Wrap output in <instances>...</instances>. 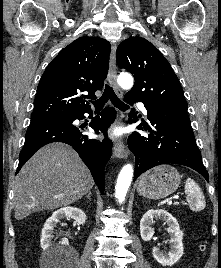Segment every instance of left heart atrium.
I'll return each mask as SVG.
<instances>
[{"instance_id":"39dd6f15","label":"left heart atrium","mask_w":221,"mask_h":268,"mask_svg":"<svg viewBox=\"0 0 221 268\" xmlns=\"http://www.w3.org/2000/svg\"><path fill=\"white\" fill-rule=\"evenodd\" d=\"M112 134H113V135H116V134H117V131H116V130H114V131L112 132Z\"/></svg>"}]
</instances>
